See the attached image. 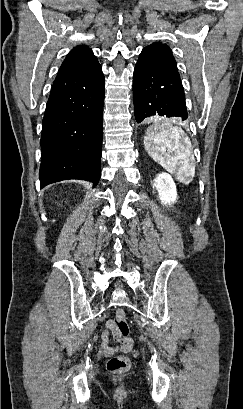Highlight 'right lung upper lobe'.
Here are the masks:
<instances>
[{
	"mask_svg": "<svg viewBox=\"0 0 243 409\" xmlns=\"http://www.w3.org/2000/svg\"><path fill=\"white\" fill-rule=\"evenodd\" d=\"M100 64L87 46L73 48L63 61L58 75H82L93 71Z\"/></svg>",
	"mask_w": 243,
	"mask_h": 409,
	"instance_id": "obj_1",
	"label": "right lung upper lobe"
}]
</instances>
